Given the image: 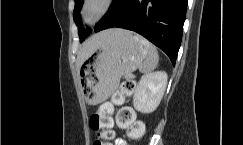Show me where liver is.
I'll use <instances>...</instances> for the list:
<instances>
[{
  "mask_svg": "<svg viewBox=\"0 0 243 145\" xmlns=\"http://www.w3.org/2000/svg\"><path fill=\"white\" fill-rule=\"evenodd\" d=\"M109 32L110 30L102 31L98 34L93 35L83 43L77 56L78 69L83 64V62L101 46Z\"/></svg>",
  "mask_w": 243,
  "mask_h": 145,
  "instance_id": "obj_1",
  "label": "liver"
}]
</instances>
